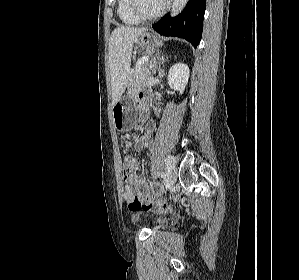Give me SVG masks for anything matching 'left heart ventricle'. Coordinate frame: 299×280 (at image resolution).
Segmentation results:
<instances>
[{
	"label": "left heart ventricle",
	"mask_w": 299,
	"mask_h": 280,
	"mask_svg": "<svg viewBox=\"0 0 299 280\" xmlns=\"http://www.w3.org/2000/svg\"><path fill=\"white\" fill-rule=\"evenodd\" d=\"M165 0H139V7L145 14H154L159 11Z\"/></svg>",
	"instance_id": "b2bd125f"
}]
</instances>
